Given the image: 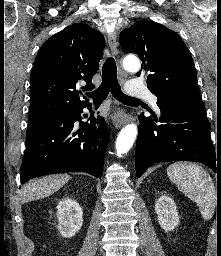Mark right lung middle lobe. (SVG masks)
<instances>
[{"instance_id": "right-lung-middle-lobe-1", "label": "right lung middle lobe", "mask_w": 221, "mask_h": 256, "mask_svg": "<svg viewBox=\"0 0 221 256\" xmlns=\"http://www.w3.org/2000/svg\"><path fill=\"white\" fill-rule=\"evenodd\" d=\"M45 119H47V118L43 114H37L34 116H30L28 119V126H32V125L39 123Z\"/></svg>"}]
</instances>
